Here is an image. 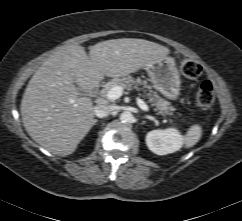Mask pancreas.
Here are the masks:
<instances>
[{
    "mask_svg": "<svg viewBox=\"0 0 242 221\" xmlns=\"http://www.w3.org/2000/svg\"><path fill=\"white\" fill-rule=\"evenodd\" d=\"M139 85H144L143 88H145V95L148 100L147 102L150 103L152 106H154V110L158 111V114L162 115H173V111L176 109L172 106H170V103L163 98H161L157 92L153 91L150 86L146 85L145 81H142L141 79L134 80L132 77H123V78H113L111 81L107 82L103 89L101 90V96L106 98V95L108 91L115 87V86H121L123 89H127L129 91L133 89L139 90ZM148 91V92H146ZM180 116L181 114L178 113Z\"/></svg>",
    "mask_w": 242,
    "mask_h": 221,
    "instance_id": "obj_1",
    "label": "pancreas"
}]
</instances>
